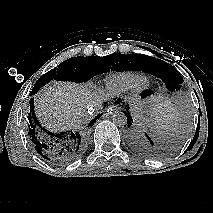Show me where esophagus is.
<instances>
[{
	"label": "esophagus",
	"instance_id": "1",
	"mask_svg": "<svg viewBox=\"0 0 213 213\" xmlns=\"http://www.w3.org/2000/svg\"><path fill=\"white\" fill-rule=\"evenodd\" d=\"M119 110H120V108L118 106H116V105L111 106L108 108V114H113L115 112H118Z\"/></svg>",
	"mask_w": 213,
	"mask_h": 213
}]
</instances>
